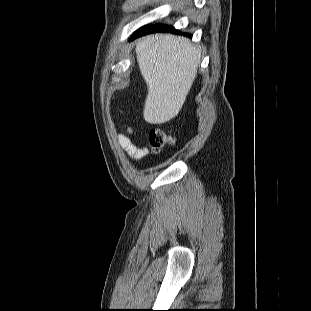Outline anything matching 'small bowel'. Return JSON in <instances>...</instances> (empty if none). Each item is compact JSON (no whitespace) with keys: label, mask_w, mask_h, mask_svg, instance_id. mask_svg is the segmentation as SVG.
Listing matches in <instances>:
<instances>
[{"label":"small bowel","mask_w":311,"mask_h":311,"mask_svg":"<svg viewBox=\"0 0 311 311\" xmlns=\"http://www.w3.org/2000/svg\"><path fill=\"white\" fill-rule=\"evenodd\" d=\"M118 144L126 152L127 156L134 161L141 160L148 154L146 147L136 146L127 136L123 134L118 135Z\"/></svg>","instance_id":"small-bowel-1"}]
</instances>
